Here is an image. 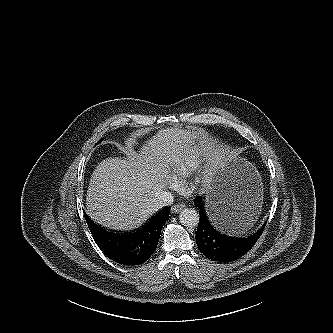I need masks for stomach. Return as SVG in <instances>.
Wrapping results in <instances>:
<instances>
[{"label":"stomach","mask_w":333,"mask_h":333,"mask_svg":"<svg viewBox=\"0 0 333 333\" xmlns=\"http://www.w3.org/2000/svg\"><path fill=\"white\" fill-rule=\"evenodd\" d=\"M263 203L262 180L246 159L220 151L206 192V221L219 234L239 236L255 226Z\"/></svg>","instance_id":"obj_1"}]
</instances>
